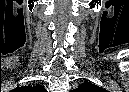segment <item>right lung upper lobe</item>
<instances>
[{
    "label": "right lung upper lobe",
    "instance_id": "1",
    "mask_svg": "<svg viewBox=\"0 0 129 92\" xmlns=\"http://www.w3.org/2000/svg\"><path fill=\"white\" fill-rule=\"evenodd\" d=\"M20 91H23V92H39V91L43 92V91H45V89L43 86L37 84L36 86L28 85L26 87H21Z\"/></svg>",
    "mask_w": 129,
    "mask_h": 92
}]
</instances>
